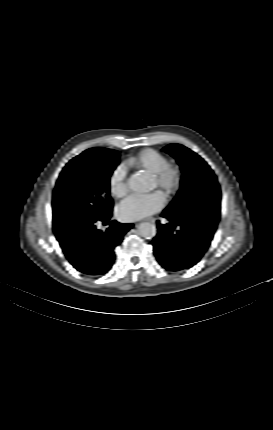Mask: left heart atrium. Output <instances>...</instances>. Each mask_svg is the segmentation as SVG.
Listing matches in <instances>:
<instances>
[{
    "mask_svg": "<svg viewBox=\"0 0 273 430\" xmlns=\"http://www.w3.org/2000/svg\"><path fill=\"white\" fill-rule=\"evenodd\" d=\"M165 204L160 192L148 195H132L126 198L117 208V216L123 221H136L159 212Z\"/></svg>",
    "mask_w": 273,
    "mask_h": 430,
    "instance_id": "left-heart-atrium-1",
    "label": "left heart atrium"
}]
</instances>
